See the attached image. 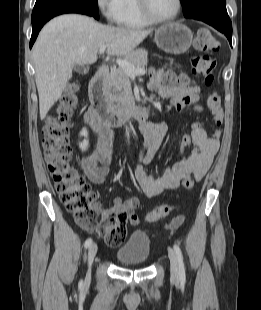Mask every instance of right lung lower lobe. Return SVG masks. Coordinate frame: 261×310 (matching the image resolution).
I'll return each mask as SVG.
<instances>
[{
	"label": "right lung lower lobe",
	"instance_id": "1",
	"mask_svg": "<svg viewBox=\"0 0 261 310\" xmlns=\"http://www.w3.org/2000/svg\"><path fill=\"white\" fill-rule=\"evenodd\" d=\"M65 13H80L92 16L88 11L77 9V8H68V7H57L47 9L42 11L41 13L37 14L35 17H32V36L30 40V48L32 47L33 43L35 42L40 29L43 25L49 21L51 18Z\"/></svg>",
	"mask_w": 261,
	"mask_h": 310
}]
</instances>
